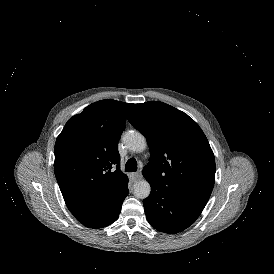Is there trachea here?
<instances>
[{
  "label": "trachea",
  "instance_id": "obj_1",
  "mask_svg": "<svg viewBox=\"0 0 274 274\" xmlns=\"http://www.w3.org/2000/svg\"><path fill=\"white\" fill-rule=\"evenodd\" d=\"M137 170V161L135 158H130L128 159V161L126 162L125 165V171L126 172H133Z\"/></svg>",
  "mask_w": 274,
  "mask_h": 274
}]
</instances>
